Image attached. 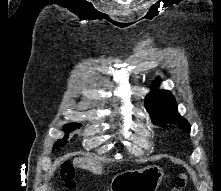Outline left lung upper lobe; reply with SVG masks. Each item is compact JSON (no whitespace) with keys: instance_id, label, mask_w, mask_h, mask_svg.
Returning <instances> with one entry per match:
<instances>
[{"instance_id":"5c2ea615","label":"left lung upper lobe","mask_w":221,"mask_h":191,"mask_svg":"<svg viewBox=\"0 0 221 191\" xmlns=\"http://www.w3.org/2000/svg\"><path fill=\"white\" fill-rule=\"evenodd\" d=\"M158 87V81L153 82L152 91L145 98V108L150 113L153 122L160 126L176 123L186 131H190L189 123L177 111L174 96L168 90H159Z\"/></svg>"}]
</instances>
